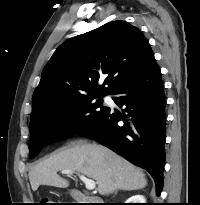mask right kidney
Returning <instances> with one entry per match:
<instances>
[{
	"label": "right kidney",
	"mask_w": 200,
	"mask_h": 205,
	"mask_svg": "<svg viewBox=\"0 0 200 205\" xmlns=\"http://www.w3.org/2000/svg\"><path fill=\"white\" fill-rule=\"evenodd\" d=\"M125 203H146V199L142 195H135L128 198Z\"/></svg>",
	"instance_id": "right-kidney-1"
}]
</instances>
